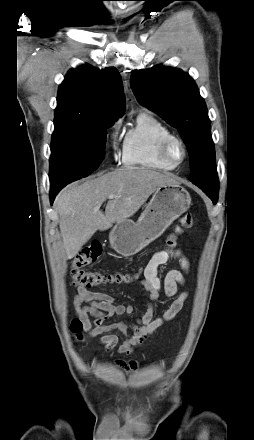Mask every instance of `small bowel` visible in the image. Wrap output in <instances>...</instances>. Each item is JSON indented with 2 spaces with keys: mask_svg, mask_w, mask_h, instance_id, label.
<instances>
[{
  "mask_svg": "<svg viewBox=\"0 0 254 440\" xmlns=\"http://www.w3.org/2000/svg\"><path fill=\"white\" fill-rule=\"evenodd\" d=\"M172 258L179 261L181 269L169 270L161 279L158 268ZM188 269L189 262L179 249L155 252L139 277L142 286L149 293L150 303L144 314L134 322H109L115 316L134 313L135 307L116 303L111 295L93 292L82 286H78L75 291V311L88 334L91 337L100 336L99 343L104 346L106 352L117 350L119 354H130L134 346L142 344L149 335L182 311L188 296L186 292L180 293L163 315L157 318H154L153 302L161 293L167 296L176 295L178 286L185 281L184 273ZM90 317L94 318L93 325ZM114 331L124 336L121 343Z\"/></svg>",
  "mask_w": 254,
  "mask_h": 440,
  "instance_id": "small-bowel-1",
  "label": "small bowel"
}]
</instances>
